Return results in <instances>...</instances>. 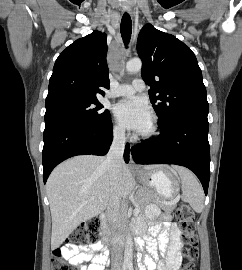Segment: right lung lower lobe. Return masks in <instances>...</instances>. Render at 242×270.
<instances>
[{
    "instance_id": "98d812e1",
    "label": "right lung lower lobe",
    "mask_w": 242,
    "mask_h": 270,
    "mask_svg": "<svg viewBox=\"0 0 242 270\" xmlns=\"http://www.w3.org/2000/svg\"><path fill=\"white\" fill-rule=\"evenodd\" d=\"M111 118L93 123L78 116H64L45 122L42 151L43 180L46 183L51 171L62 161L76 155H105L112 143ZM129 162V145L124 152Z\"/></svg>"
}]
</instances>
